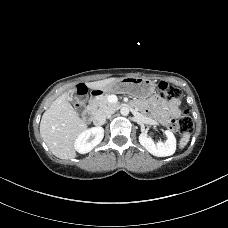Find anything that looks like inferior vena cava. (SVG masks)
<instances>
[{
  "label": "inferior vena cava",
  "instance_id": "inferior-vena-cava-1",
  "mask_svg": "<svg viewBox=\"0 0 228 228\" xmlns=\"http://www.w3.org/2000/svg\"><path fill=\"white\" fill-rule=\"evenodd\" d=\"M115 112V110H108V111H103V112H99L97 113L94 118H93V123L95 125H103L106 121V118L108 116H110L111 114H113Z\"/></svg>",
  "mask_w": 228,
  "mask_h": 228
}]
</instances>
